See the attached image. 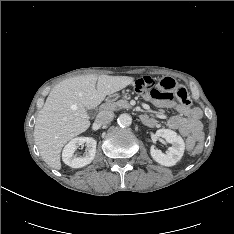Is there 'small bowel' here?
I'll return each mask as SVG.
<instances>
[{"label": "small bowel", "instance_id": "c3829d8e", "mask_svg": "<svg viewBox=\"0 0 234 234\" xmlns=\"http://www.w3.org/2000/svg\"><path fill=\"white\" fill-rule=\"evenodd\" d=\"M144 99L151 101L159 108H174L177 115L170 117L167 120V126L170 129L178 130L183 136L187 137L188 147L203 138V125L200 121L202 112L197 107H190L178 104L173 99H158L152 97L149 93H141ZM144 122L150 126L155 127L157 121L154 118L145 116Z\"/></svg>", "mask_w": 234, "mask_h": 234}]
</instances>
